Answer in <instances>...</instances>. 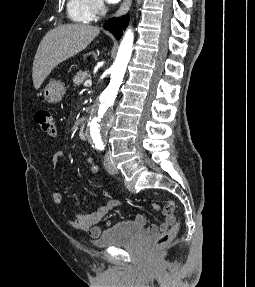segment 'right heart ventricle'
Wrapping results in <instances>:
<instances>
[{
  "instance_id": "e07e8e85",
  "label": "right heart ventricle",
  "mask_w": 255,
  "mask_h": 287,
  "mask_svg": "<svg viewBox=\"0 0 255 287\" xmlns=\"http://www.w3.org/2000/svg\"><path fill=\"white\" fill-rule=\"evenodd\" d=\"M86 33H101V32H86ZM86 39H94V38H86ZM110 39H112V38H110ZM106 48H120V47H106Z\"/></svg>"
}]
</instances>
